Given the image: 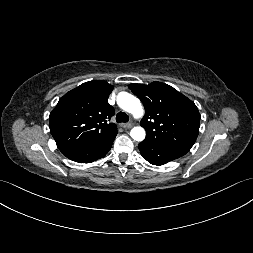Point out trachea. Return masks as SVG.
I'll return each instance as SVG.
<instances>
[{"label":"trachea","mask_w":253,"mask_h":253,"mask_svg":"<svg viewBox=\"0 0 253 253\" xmlns=\"http://www.w3.org/2000/svg\"><path fill=\"white\" fill-rule=\"evenodd\" d=\"M116 121L119 122V123H121V122L126 123V122L129 121V117H128V115H127L126 113H124V112H119V113L117 114V116H116Z\"/></svg>","instance_id":"1"}]
</instances>
